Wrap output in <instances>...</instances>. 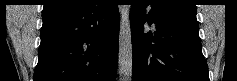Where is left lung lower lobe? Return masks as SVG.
<instances>
[{
	"mask_svg": "<svg viewBox=\"0 0 237 81\" xmlns=\"http://www.w3.org/2000/svg\"><path fill=\"white\" fill-rule=\"evenodd\" d=\"M152 9L146 14V6ZM156 24L144 33L145 22ZM133 81H210L196 15L135 0L130 11Z\"/></svg>",
	"mask_w": 237,
	"mask_h": 81,
	"instance_id": "0a47b994",
	"label": "left lung lower lobe"
}]
</instances>
